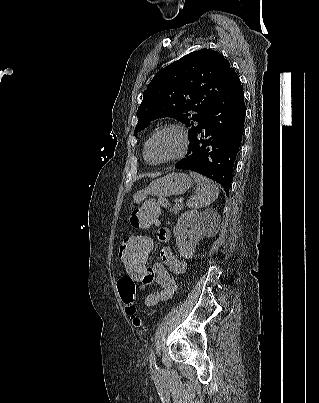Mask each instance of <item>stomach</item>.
Segmentation results:
<instances>
[{
  "instance_id": "0dacf381",
  "label": "stomach",
  "mask_w": 319,
  "mask_h": 403,
  "mask_svg": "<svg viewBox=\"0 0 319 403\" xmlns=\"http://www.w3.org/2000/svg\"><path fill=\"white\" fill-rule=\"evenodd\" d=\"M191 178L185 173H170L152 181L147 188L133 195L134 202H142L148 195L168 197L184 194L192 186Z\"/></svg>"
}]
</instances>
